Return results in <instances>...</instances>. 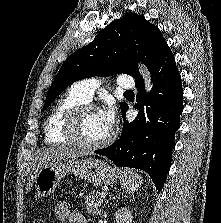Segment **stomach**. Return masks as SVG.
<instances>
[{
    "mask_svg": "<svg viewBox=\"0 0 221 223\" xmlns=\"http://www.w3.org/2000/svg\"><path fill=\"white\" fill-rule=\"evenodd\" d=\"M71 173L95 185H107L114 182L116 170L107 162L93 159H68L57 161L39 170L35 177V188L40 196L51 195L61 178Z\"/></svg>",
    "mask_w": 221,
    "mask_h": 223,
    "instance_id": "1",
    "label": "stomach"
}]
</instances>
